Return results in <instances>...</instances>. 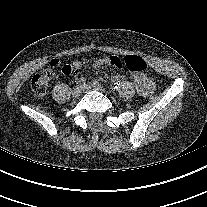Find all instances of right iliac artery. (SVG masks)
<instances>
[{
  "label": "right iliac artery",
  "mask_w": 207,
  "mask_h": 207,
  "mask_svg": "<svg viewBox=\"0 0 207 207\" xmlns=\"http://www.w3.org/2000/svg\"><path fill=\"white\" fill-rule=\"evenodd\" d=\"M77 84L79 86H84L86 84V79L84 77L78 79Z\"/></svg>",
  "instance_id": "1"
}]
</instances>
